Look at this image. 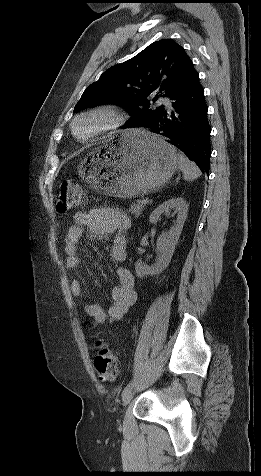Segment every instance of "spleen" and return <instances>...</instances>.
Returning a JSON list of instances; mask_svg holds the SVG:
<instances>
[{"label": "spleen", "mask_w": 261, "mask_h": 476, "mask_svg": "<svg viewBox=\"0 0 261 476\" xmlns=\"http://www.w3.org/2000/svg\"><path fill=\"white\" fill-rule=\"evenodd\" d=\"M178 165L183 172L184 180L192 181L201 175L200 169L196 164L190 161L184 154H177Z\"/></svg>", "instance_id": "1"}]
</instances>
